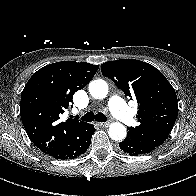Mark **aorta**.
<instances>
[{
    "label": "aorta",
    "mask_w": 196,
    "mask_h": 196,
    "mask_svg": "<svg viewBox=\"0 0 196 196\" xmlns=\"http://www.w3.org/2000/svg\"><path fill=\"white\" fill-rule=\"evenodd\" d=\"M89 92L96 99H103L108 94V85L102 79L93 80L89 83ZM111 139L122 141L126 137V128L119 122L111 123L108 130Z\"/></svg>",
    "instance_id": "aorta-1"
}]
</instances>
